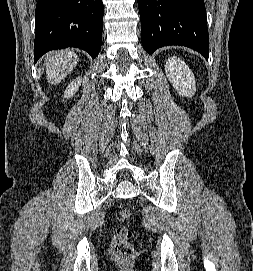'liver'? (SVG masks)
Instances as JSON below:
<instances>
[{
	"label": "liver",
	"instance_id": "obj_1",
	"mask_svg": "<svg viewBox=\"0 0 253 271\" xmlns=\"http://www.w3.org/2000/svg\"><path fill=\"white\" fill-rule=\"evenodd\" d=\"M78 62V56L71 50L49 53L46 57V77L52 85L59 84L70 74Z\"/></svg>",
	"mask_w": 253,
	"mask_h": 271
}]
</instances>
